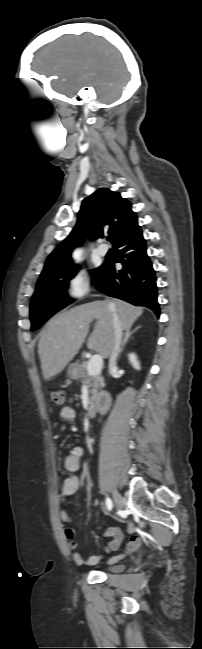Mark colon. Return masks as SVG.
I'll use <instances>...</instances> for the list:
<instances>
[{
    "label": "colon",
    "instance_id": "1",
    "mask_svg": "<svg viewBox=\"0 0 202 649\" xmlns=\"http://www.w3.org/2000/svg\"><path fill=\"white\" fill-rule=\"evenodd\" d=\"M51 399L56 405H63L65 401V394L62 390H55L51 392ZM140 542L139 537L133 536L130 539V542L128 544V549H134Z\"/></svg>",
    "mask_w": 202,
    "mask_h": 649
}]
</instances>
